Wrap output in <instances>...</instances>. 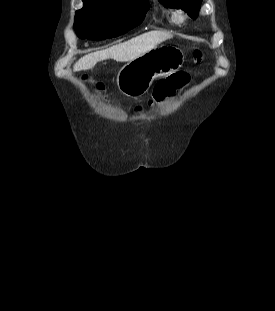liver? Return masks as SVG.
I'll return each instance as SVG.
<instances>
[{
  "label": "liver",
  "mask_w": 275,
  "mask_h": 311,
  "mask_svg": "<svg viewBox=\"0 0 275 311\" xmlns=\"http://www.w3.org/2000/svg\"><path fill=\"white\" fill-rule=\"evenodd\" d=\"M171 37L169 33L162 31L141 34L123 43L83 56L74 65V71L91 69L98 62L106 59H114L117 62L134 60Z\"/></svg>",
  "instance_id": "1"
}]
</instances>
